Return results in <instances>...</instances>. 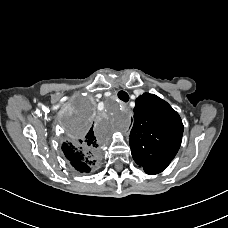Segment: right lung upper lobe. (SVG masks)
<instances>
[{
	"instance_id": "1",
	"label": "right lung upper lobe",
	"mask_w": 228,
	"mask_h": 228,
	"mask_svg": "<svg viewBox=\"0 0 228 228\" xmlns=\"http://www.w3.org/2000/svg\"><path fill=\"white\" fill-rule=\"evenodd\" d=\"M98 147L92 128L87 135L78 140L63 143L62 149L71 164L81 172H89L95 162V150Z\"/></svg>"
}]
</instances>
